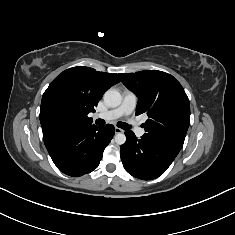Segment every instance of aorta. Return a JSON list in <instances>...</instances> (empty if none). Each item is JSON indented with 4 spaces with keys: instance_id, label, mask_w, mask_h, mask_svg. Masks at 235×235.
Listing matches in <instances>:
<instances>
[{
    "instance_id": "obj_1",
    "label": "aorta",
    "mask_w": 235,
    "mask_h": 235,
    "mask_svg": "<svg viewBox=\"0 0 235 235\" xmlns=\"http://www.w3.org/2000/svg\"><path fill=\"white\" fill-rule=\"evenodd\" d=\"M122 102L121 94L115 89H109L104 94V103L111 108L118 107ZM115 142L122 145L126 142V136L123 133L115 135Z\"/></svg>"
}]
</instances>
